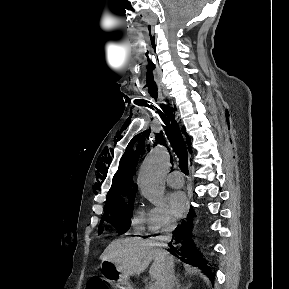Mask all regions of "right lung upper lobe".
I'll return each mask as SVG.
<instances>
[{
	"mask_svg": "<svg viewBox=\"0 0 289 289\" xmlns=\"http://www.w3.org/2000/svg\"><path fill=\"white\" fill-rule=\"evenodd\" d=\"M143 149L144 144H140L139 142L135 152L130 150L124 153L118 172L113 179L112 187L107 194L106 203L120 202L126 198L130 199L135 197L136 186L132 183V176L140 151ZM122 161H125L124 166H122Z\"/></svg>",
	"mask_w": 289,
	"mask_h": 289,
	"instance_id": "right-lung-upper-lobe-1",
	"label": "right lung upper lobe"
}]
</instances>
